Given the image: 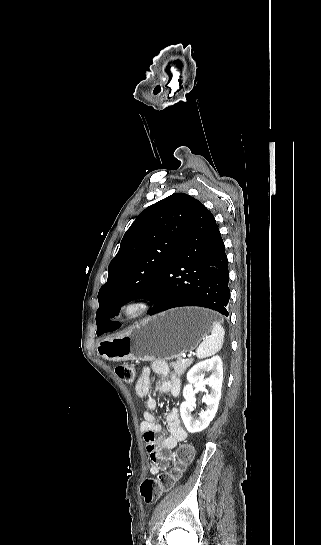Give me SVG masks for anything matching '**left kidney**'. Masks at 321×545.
<instances>
[{
	"label": "left kidney",
	"instance_id": "obj_1",
	"mask_svg": "<svg viewBox=\"0 0 321 545\" xmlns=\"http://www.w3.org/2000/svg\"><path fill=\"white\" fill-rule=\"evenodd\" d=\"M211 371L210 377L204 381V385L211 387V393H206L202 399V403H206V411L199 413L198 419H194L191 413L194 411L195 391L192 387L193 383H198L199 379L204 377V373ZM189 385H185L183 389L184 403L180 405L181 419L189 433H201L207 429L209 423L213 421L219 401L221 399V387L223 381V367L220 357H212L207 361H201L194 365L187 373Z\"/></svg>",
	"mask_w": 321,
	"mask_h": 545
}]
</instances>
